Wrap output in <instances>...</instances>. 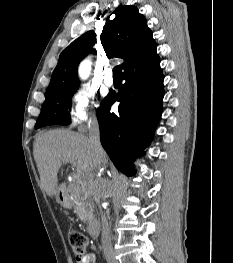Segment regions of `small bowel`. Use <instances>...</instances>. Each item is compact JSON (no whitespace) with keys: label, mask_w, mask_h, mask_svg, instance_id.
<instances>
[{"label":"small bowel","mask_w":233,"mask_h":263,"mask_svg":"<svg viewBox=\"0 0 233 263\" xmlns=\"http://www.w3.org/2000/svg\"><path fill=\"white\" fill-rule=\"evenodd\" d=\"M77 263H95V257L93 254H86L83 258L78 260Z\"/></svg>","instance_id":"obj_1"}]
</instances>
